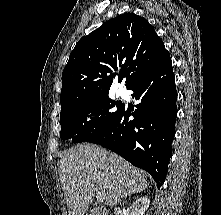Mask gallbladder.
Masks as SVG:
<instances>
[{
	"mask_svg": "<svg viewBox=\"0 0 221 215\" xmlns=\"http://www.w3.org/2000/svg\"><path fill=\"white\" fill-rule=\"evenodd\" d=\"M95 212H98L97 210H95ZM92 215H98V214H92Z\"/></svg>",
	"mask_w": 221,
	"mask_h": 215,
	"instance_id": "gallbladder-1",
	"label": "gallbladder"
}]
</instances>
